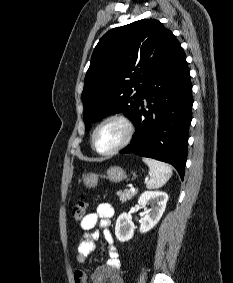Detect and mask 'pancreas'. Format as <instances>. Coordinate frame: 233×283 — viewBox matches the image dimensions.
I'll list each match as a JSON object with an SVG mask.
<instances>
[{
    "label": "pancreas",
    "mask_w": 233,
    "mask_h": 283,
    "mask_svg": "<svg viewBox=\"0 0 233 283\" xmlns=\"http://www.w3.org/2000/svg\"><path fill=\"white\" fill-rule=\"evenodd\" d=\"M137 194V192H132L131 190H124L122 191H118L117 192V196H119L120 201L122 203L132 199L133 196H135Z\"/></svg>",
    "instance_id": "1"
}]
</instances>
